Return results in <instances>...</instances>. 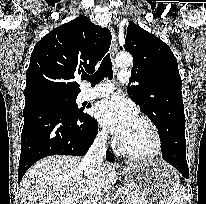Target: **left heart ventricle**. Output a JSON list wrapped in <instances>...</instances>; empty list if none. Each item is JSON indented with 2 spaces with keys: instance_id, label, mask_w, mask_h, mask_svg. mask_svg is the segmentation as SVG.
<instances>
[{
  "instance_id": "1",
  "label": "left heart ventricle",
  "mask_w": 206,
  "mask_h": 204,
  "mask_svg": "<svg viewBox=\"0 0 206 204\" xmlns=\"http://www.w3.org/2000/svg\"><path fill=\"white\" fill-rule=\"evenodd\" d=\"M125 147L135 153H148L154 148V137L149 127L136 118L128 135L122 140Z\"/></svg>"
}]
</instances>
